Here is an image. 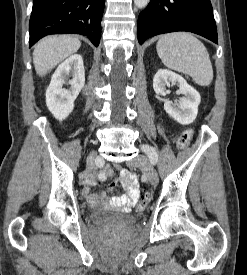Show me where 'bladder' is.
I'll list each match as a JSON object with an SVG mask.
<instances>
[{
	"instance_id": "bladder-1",
	"label": "bladder",
	"mask_w": 247,
	"mask_h": 275,
	"mask_svg": "<svg viewBox=\"0 0 247 275\" xmlns=\"http://www.w3.org/2000/svg\"><path fill=\"white\" fill-rule=\"evenodd\" d=\"M90 221L95 225L100 226H133L135 217L112 211H91Z\"/></svg>"
}]
</instances>
